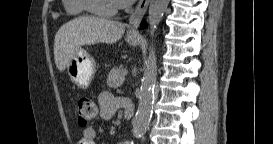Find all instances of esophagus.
Listing matches in <instances>:
<instances>
[{
	"label": "esophagus",
	"instance_id": "34e87169",
	"mask_svg": "<svg viewBox=\"0 0 273 144\" xmlns=\"http://www.w3.org/2000/svg\"><path fill=\"white\" fill-rule=\"evenodd\" d=\"M149 5V0H140L129 18V31L128 33L131 35H137V28L140 24L141 19L145 15L147 8Z\"/></svg>",
	"mask_w": 273,
	"mask_h": 144
}]
</instances>
